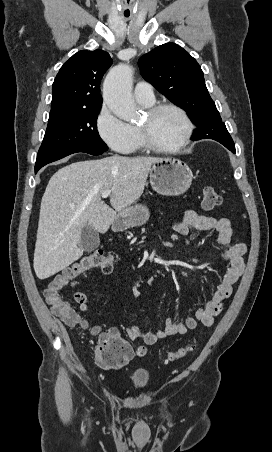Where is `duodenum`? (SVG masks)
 I'll use <instances>...</instances> for the list:
<instances>
[{"label":"duodenum","instance_id":"410a0bca","mask_svg":"<svg viewBox=\"0 0 272 452\" xmlns=\"http://www.w3.org/2000/svg\"><path fill=\"white\" fill-rule=\"evenodd\" d=\"M111 228L113 231H119L122 230V224L120 223V220L115 218L112 222Z\"/></svg>","mask_w":272,"mask_h":452}]
</instances>
